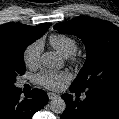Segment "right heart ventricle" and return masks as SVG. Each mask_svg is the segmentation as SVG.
Returning a JSON list of instances; mask_svg holds the SVG:
<instances>
[{
  "instance_id": "1",
  "label": "right heart ventricle",
  "mask_w": 119,
  "mask_h": 119,
  "mask_svg": "<svg viewBox=\"0 0 119 119\" xmlns=\"http://www.w3.org/2000/svg\"><path fill=\"white\" fill-rule=\"evenodd\" d=\"M50 45L64 57H69L77 51V42L72 37L57 33L49 38Z\"/></svg>"
}]
</instances>
